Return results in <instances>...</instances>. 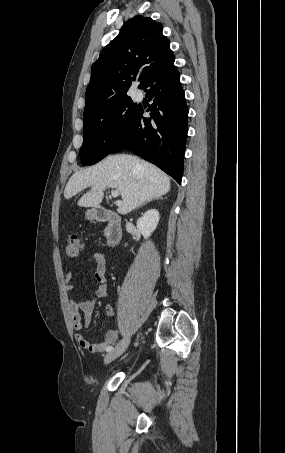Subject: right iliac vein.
I'll list each match as a JSON object with an SVG mask.
<instances>
[{"label": "right iliac vein", "mask_w": 285, "mask_h": 453, "mask_svg": "<svg viewBox=\"0 0 285 453\" xmlns=\"http://www.w3.org/2000/svg\"><path fill=\"white\" fill-rule=\"evenodd\" d=\"M130 335L124 337L112 350H110L104 358V363L107 365L119 356H121L130 344Z\"/></svg>", "instance_id": "63e3f726"}]
</instances>
